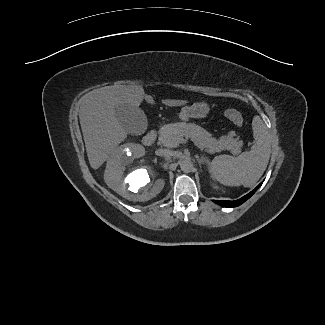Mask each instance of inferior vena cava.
Instances as JSON below:
<instances>
[{
    "label": "inferior vena cava",
    "instance_id": "1",
    "mask_svg": "<svg viewBox=\"0 0 325 325\" xmlns=\"http://www.w3.org/2000/svg\"><path fill=\"white\" fill-rule=\"evenodd\" d=\"M157 155L163 156V157H172L174 155V151L170 149H159L157 151Z\"/></svg>",
    "mask_w": 325,
    "mask_h": 325
}]
</instances>
